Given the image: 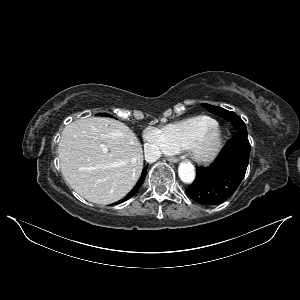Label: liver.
Segmentation results:
<instances>
[{
  "instance_id": "1",
  "label": "liver",
  "mask_w": 300,
  "mask_h": 300,
  "mask_svg": "<svg viewBox=\"0 0 300 300\" xmlns=\"http://www.w3.org/2000/svg\"><path fill=\"white\" fill-rule=\"evenodd\" d=\"M61 172L83 198L111 204L126 196L143 168V150L124 123L106 117L66 126L58 145Z\"/></svg>"
}]
</instances>
